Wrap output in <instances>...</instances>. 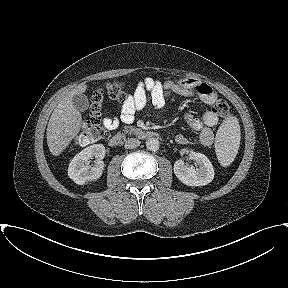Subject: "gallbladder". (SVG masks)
<instances>
[{"instance_id": "1", "label": "gallbladder", "mask_w": 288, "mask_h": 288, "mask_svg": "<svg viewBox=\"0 0 288 288\" xmlns=\"http://www.w3.org/2000/svg\"><path fill=\"white\" fill-rule=\"evenodd\" d=\"M73 105L79 111H85L89 107V101L86 95L76 94L73 96Z\"/></svg>"}]
</instances>
